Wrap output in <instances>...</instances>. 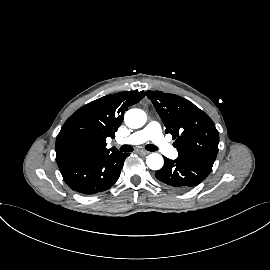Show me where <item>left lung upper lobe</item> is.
I'll return each instance as SVG.
<instances>
[{"label": "left lung upper lobe", "instance_id": "5c2ea615", "mask_svg": "<svg viewBox=\"0 0 270 270\" xmlns=\"http://www.w3.org/2000/svg\"><path fill=\"white\" fill-rule=\"evenodd\" d=\"M182 160L209 171L218 153L219 134L210 117L190 101L159 91H147Z\"/></svg>", "mask_w": 270, "mask_h": 270}]
</instances>
